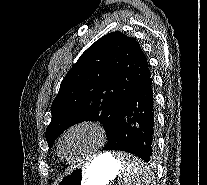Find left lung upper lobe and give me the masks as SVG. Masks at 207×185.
Wrapping results in <instances>:
<instances>
[{"instance_id": "obj_1", "label": "left lung upper lobe", "mask_w": 207, "mask_h": 185, "mask_svg": "<svg viewBox=\"0 0 207 185\" xmlns=\"http://www.w3.org/2000/svg\"><path fill=\"white\" fill-rule=\"evenodd\" d=\"M150 76L134 38L115 31L97 40L60 84L46 129L49 148L64 130L83 121L102 123L109 139L120 107Z\"/></svg>"}]
</instances>
